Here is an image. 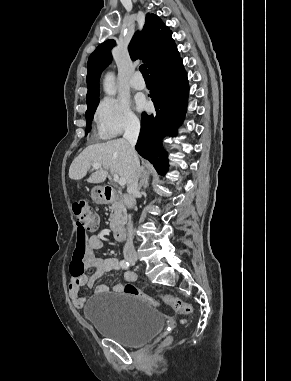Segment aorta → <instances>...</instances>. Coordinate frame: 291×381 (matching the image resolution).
<instances>
[{"mask_svg": "<svg viewBox=\"0 0 291 381\" xmlns=\"http://www.w3.org/2000/svg\"><path fill=\"white\" fill-rule=\"evenodd\" d=\"M104 91L108 95H115L116 89H115V78L112 73H108L105 76L104 83H103Z\"/></svg>", "mask_w": 291, "mask_h": 381, "instance_id": "obj_1", "label": "aorta"}]
</instances>
